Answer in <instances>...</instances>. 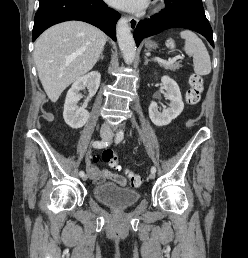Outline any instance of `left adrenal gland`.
<instances>
[{"label": "left adrenal gland", "instance_id": "obj_1", "mask_svg": "<svg viewBox=\"0 0 248 258\" xmlns=\"http://www.w3.org/2000/svg\"><path fill=\"white\" fill-rule=\"evenodd\" d=\"M144 58H145L144 64L147 65L150 60L147 58V56H145Z\"/></svg>", "mask_w": 248, "mask_h": 258}]
</instances>
